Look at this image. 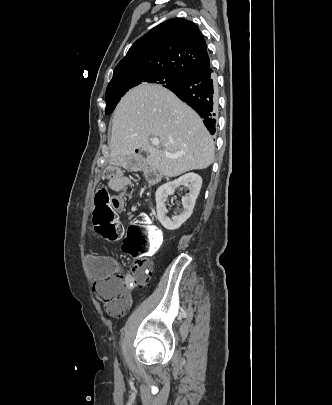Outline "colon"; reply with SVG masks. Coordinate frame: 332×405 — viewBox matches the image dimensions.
<instances>
[{
	"mask_svg": "<svg viewBox=\"0 0 332 405\" xmlns=\"http://www.w3.org/2000/svg\"><path fill=\"white\" fill-rule=\"evenodd\" d=\"M149 176V174H148ZM93 226L105 240H116L121 233L116 211L111 209L110 188L97 190L94 200ZM161 231L147 216L141 215L129 226L128 239L123 248L124 256H155L161 244ZM153 272V262L141 257L130 275L110 274L96 282L95 292L100 301L107 304L111 313L122 310L126 305L128 290L133 285L146 284Z\"/></svg>",
	"mask_w": 332,
	"mask_h": 405,
	"instance_id": "colon-1",
	"label": "colon"
}]
</instances>
